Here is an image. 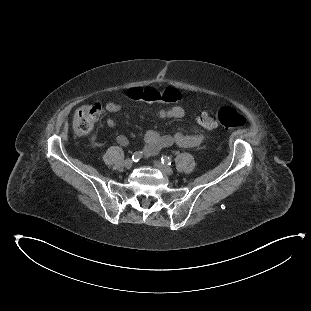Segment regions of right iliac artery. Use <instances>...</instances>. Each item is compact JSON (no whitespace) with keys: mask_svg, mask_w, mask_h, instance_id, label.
<instances>
[{"mask_svg":"<svg viewBox=\"0 0 311 311\" xmlns=\"http://www.w3.org/2000/svg\"><path fill=\"white\" fill-rule=\"evenodd\" d=\"M142 153H143V152H141V151L135 152V153L132 155V161H134V162L139 161V160L142 158V156H143Z\"/></svg>","mask_w":311,"mask_h":311,"instance_id":"obj_1","label":"right iliac artery"}]
</instances>
